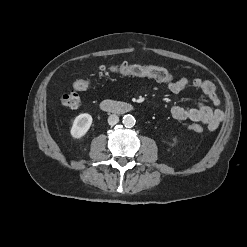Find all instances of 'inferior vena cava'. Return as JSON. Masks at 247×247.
Here are the masks:
<instances>
[{"instance_id":"obj_1","label":"inferior vena cava","mask_w":247,"mask_h":247,"mask_svg":"<svg viewBox=\"0 0 247 247\" xmlns=\"http://www.w3.org/2000/svg\"><path fill=\"white\" fill-rule=\"evenodd\" d=\"M119 122V117L116 114H112L108 117L109 125L113 126Z\"/></svg>"}]
</instances>
